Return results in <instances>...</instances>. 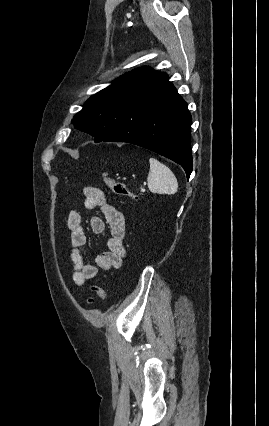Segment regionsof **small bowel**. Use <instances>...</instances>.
Listing matches in <instances>:
<instances>
[{
  "label": "small bowel",
  "mask_w": 269,
  "mask_h": 426,
  "mask_svg": "<svg viewBox=\"0 0 269 426\" xmlns=\"http://www.w3.org/2000/svg\"><path fill=\"white\" fill-rule=\"evenodd\" d=\"M83 194L85 208L89 211L99 209L102 214V216H93L90 219L92 232L98 235L107 229L109 240L107 250L96 258L95 264L87 262L82 255V249L87 243V236L81 215L74 210L68 212L66 226L70 230L71 238V277L75 285L79 287L95 279L99 269L109 271L120 268L126 255L123 215L107 201L104 192L100 188L85 187Z\"/></svg>",
  "instance_id": "obj_1"
}]
</instances>
